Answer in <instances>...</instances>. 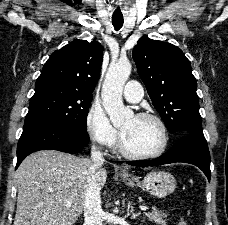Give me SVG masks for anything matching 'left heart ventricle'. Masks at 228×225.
<instances>
[{"instance_id":"1","label":"left heart ventricle","mask_w":228,"mask_h":225,"mask_svg":"<svg viewBox=\"0 0 228 225\" xmlns=\"http://www.w3.org/2000/svg\"><path fill=\"white\" fill-rule=\"evenodd\" d=\"M127 146L136 152L154 153L163 143L160 126L149 119L129 118L122 126Z\"/></svg>"}]
</instances>
